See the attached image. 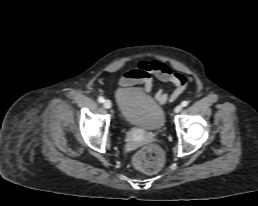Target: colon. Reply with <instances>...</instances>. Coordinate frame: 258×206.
I'll list each match as a JSON object with an SVG mask.
<instances>
[{
	"mask_svg": "<svg viewBox=\"0 0 258 206\" xmlns=\"http://www.w3.org/2000/svg\"><path fill=\"white\" fill-rule=\"evenodd\" d=\"M133 164L141 171L155 173L159 171L164 164V154L160 147L155 144H150L141 148L133 156Z\"/></svg>",
	"mask_w": 258,
	"mask_h": 206,
	"instance_id": "obj_1",
	"label": "colon"
}]
</instances>
